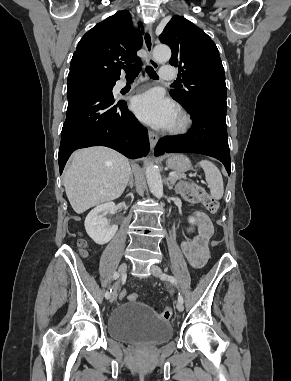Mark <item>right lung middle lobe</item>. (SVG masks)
I'll return each instance as SVG.
<instances>
[{
    "label": "right lung middle lobe",
    "mask_w": 291,
    "mask_h": 381,
    "mask_svg": "<svg viewBox=\"0 0 291 381\" xmlns=\"http://www.w3.org/2000/svg\"><path fill=\"white\" fill-rule=\"evenodd\" d=\"M100 84L103 85L112 95V88L114 87L115 83L100 82Z\"/></svg>",
    "instance_id": "right-lung-middle-lobe-1"
}]
</instances>
